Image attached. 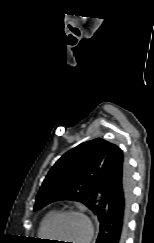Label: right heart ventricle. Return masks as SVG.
I'll list each match as a JSON object with an SVG mask.
<instances>
[{
	"label": "right heart ventricle",
	"mask_w": 154,
	"mask_h": 243,
	"mask_svg": "<svg viewBox=\"0 0 154 243\" xmlns=\"http://www.w3.org/2000/svg\"><path fill=\"white\" fill-rule=\"evenodd\" d=\"M56 213L55 210H50L48 211L44 217L42 218L40 225H39V230H38V235L42 238V239H47V224L49 222V220L52 218V216Z\"/></svg>",
	"instance_id": "e07e8e85"
}]
</instances>
